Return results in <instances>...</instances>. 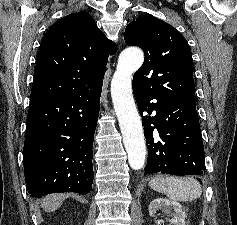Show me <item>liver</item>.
<instances>
[{
    "label": "liver",
    "instance_id": "6515ba94",
    "mask_svg": "<svg viewBox=\"0 0 237 225\" xmlns=\"http://www.w3.org/2000/svg\"><path fill=\"white\" fill-rule=\"evenodd\" d=\"M65 199L63 194H53L42 200L41 206L46 212H54L57 210Z\"/></svg>",
    "mask_w": 237,
    "mask_h": 225
}]
</instances>
